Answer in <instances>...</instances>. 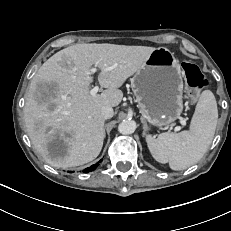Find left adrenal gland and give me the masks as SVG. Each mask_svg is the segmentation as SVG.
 Masks as SVG:
<instances>
[{
  "label": "left adrenal gland",
  "instance_id": "obj_1",
  "mask_svg": "<svg viewBox=\"0 0 231 231\" xmlns=\"http://www.w3.org/2000/svg\"><path fill=\"white\" fill-rule=\"evenodd\" d=\"M143 125V136L145 135V131L147 130V124L145 121H142Z\"/></svg>",
  "mask_w": 231,
  "mask_h": 231
}]
</instances>
